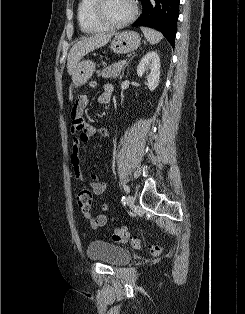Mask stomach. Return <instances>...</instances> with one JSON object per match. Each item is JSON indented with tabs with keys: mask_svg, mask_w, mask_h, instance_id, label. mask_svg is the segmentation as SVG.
Returning <instances> with one entry per match:
<instances>
[{
	"mask_svg": "<svg viewBox=\"0 0 245 314\" xmlns=\"http://www.w3.org/2000/svg\"><path fill=\"white\" fill-rule=\"evenodd\" d=\"M141 38L134 31H123L115 35L111 42V50L117 54H125L137 49L140 45ZM95 71V63L84 60L78 63L72 74V81L76 87L85 85L92 77Z\"/></svg>",
	"mask_w": 245,
	"mask_h": 314,
	"instance_id": "obj_1",
	"label": "stomach"
}]
</instances>
